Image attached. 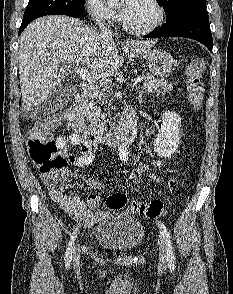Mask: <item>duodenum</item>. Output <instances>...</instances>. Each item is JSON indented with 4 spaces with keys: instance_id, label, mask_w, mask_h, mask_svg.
Here are the masks:
<instances>
[{
    "instance_id": "duodenum-1",
    "label": "duodenum",
    "mask_w": 233,
    "mask_h": 294,
    "mask_svg": "<svg viewBox=\"0 0 233 294\" xmlns=\"http://www.w3.org/2000/svg\"><path fill=\"white\" fill-rule=\"evenodd\" d=\"M65 118L72 124L76 133L91 143L118 146L133 141L137 135L136 116L132 110L127 111L122 122L111 130L87 128L75 106L66 110Z\"/></svg>"
}]
</instances>
